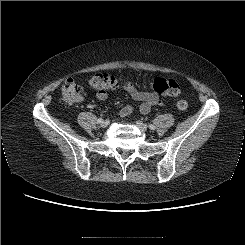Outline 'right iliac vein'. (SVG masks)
Wrapping results in <instances>:
<instances>
[{"label":"right iliac vein","instance_id":"1","mask_svg":"<svg viewBox=\"0 0 245 245\" xmlns=\"http://www.w3.org/2000/svg\"><path fill=\"white\" fill-rule=\"evenodd\" d=\"M109 125V122L107 120H102L101 123H100V126L105 128Z\"/></svg>","mask_w":245,"mask_h":245}]
</instances>
